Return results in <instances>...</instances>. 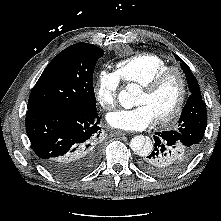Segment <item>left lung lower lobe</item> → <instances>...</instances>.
<instances>
[{
  "label": "left lung lower lobe",
  "instance_id": "obj_1",
  "mask_svg": "<svg viewBox=\"0 0 221 221\" xmlns=\"http://www.w3.org/2000/svg\"><path fill=\"white\" fill-rule=\"evenodd\" d=\"M151 152L142 156L139 166L158 177L172 176L185 168L196 154V148L176 130L157 132Z\"/></svg>",
  "mask_w": 221,
  "mask_h": 221
}]
</instances>
